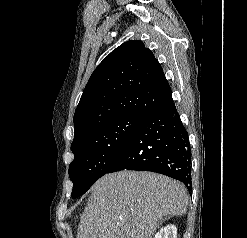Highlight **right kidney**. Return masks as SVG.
Wrapping results in <instances>:
<instances>
[{
	"label": "right kidney",
	"instance_id": "1",
	"mask_svg": "<svg viewBox=\"0 0 247 238\" xmlns=\"http://www.w3.org/2000/svg\"><path fill=\"white\" fill-rule=\"evenodd\" d=\"M154 238H177V228L174 225L162 227Z\"/></svg>",
	"mask_w": 247,
	"mask_h": 238
}]
</instances>
